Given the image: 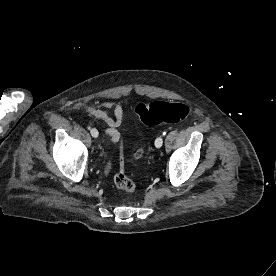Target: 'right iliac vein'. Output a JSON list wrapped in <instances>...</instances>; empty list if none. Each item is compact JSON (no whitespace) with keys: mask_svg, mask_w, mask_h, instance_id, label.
Returning <instances> with one entry per match:
<instances>
[{"mask_svg":"<svg viewBox=\"0 0 276 276\" xmlns=\"http://www.w3.org/2000/svg\"><path fill=\"white\" fill-rule=\"evenodd\" d=\"M91 135H92L94 138L98 137V131H97L95 128L91 129Z\"/></svg>","mask_w":276,"mask_h":276,"instance_id":"right-iliac-vein-1","label":"right iliac vein"}]
</instances>
